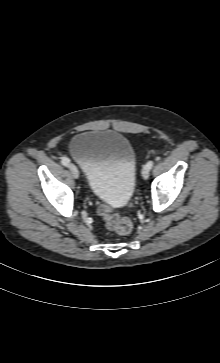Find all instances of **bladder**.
Instances as JSON below:
<instances>
[{
	"label": "bladder",
	"instance_id": "31cf9c89",
	"mask_svg": "<svg viewBox=\"0 0 220 363\" xmlns=\"http://www.w3.org/2000/svg\"><path fill=\"white\" fill-rule=\"evenodd\" d=\"M69 152L84 169L87 184L100 201L120 207L130 200L137 156L127 137L114 131H83L72 138Z\"/></svg>",
	"mask_w": 220,
	"mask_h": 363
}]
</instances>
